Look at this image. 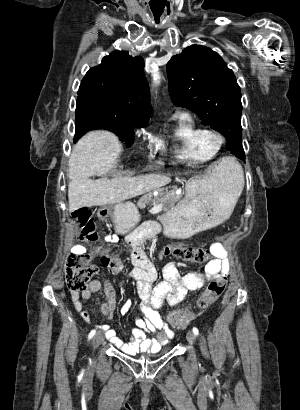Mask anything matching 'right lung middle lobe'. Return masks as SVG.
<instances>
[{"mask_svg": "<svg viewBox=\"0 0 300 410\" xmlns=\"http://www.w3.org/2000/svg\"><path fill=\"white\" fill-rule=\"evenodd\" d=\"M75 140L91 129H108L121 140L133 141V125L144 127L147 122L135 123L109 114L101 95L91 90L78 91L75 111Z\"/></svg>", "mask_w": 300, "mask_h": 410, "instance_id": "obj_1", "label": "right lung middle lobe"}]
</instances>
